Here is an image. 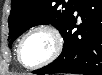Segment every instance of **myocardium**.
<instances>
[{
  "mask_svg": "<svg viewBox=\"0 0 102 75\" xmlns=\"http://www.w3.org/2000/svg\"><path fill=\"white\" fill-rule=\"evenodd\" d=\"M37 31H45V32H48L52 36V38L54 40V49H53V52L51 53V55L48 56L46 59H44L39 64H37V65H28V64H25L23 62V59H22V46H23V43L26 40V38L29 35H31L32 33L37 32ZM63 46H64L63 36L55 26L50 25V24H40V25L34 26L30 30H28L21 37V39H20V41L18 43V46H17V57H18L19 62H21L26 67H28V68H37V67L49 64L52 61H54L60 55V53H61V51L63 49Z\"/></svg>",
  "mask_w": 102,
  "mask_h": 75,
  "instance_id": "myocardium-1",
  "label": "myocardium"
}]
</instances>
